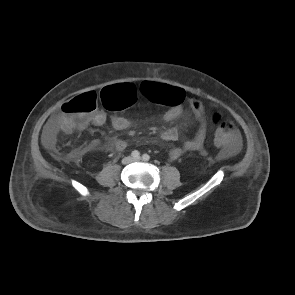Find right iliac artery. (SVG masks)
Returning <instances> with one entry per match:
<instances>
[{"label": "right iliac artery", "mask_w": 295, "mask_h": 295, "mask_svg": "<svg viewBox=\"0 0 295 295\" xmlns=\"http://www.w3.org/2000/svg\"><path fill=\"white\" fill-rule=\"evenodd\" d=\"M131 155H132V157L135 158V159H137V158L140 157V153H139V151H137V150H134V151L132 152Z\"/></svg>", "instance_id": "82829eb1"}]
</instances>
